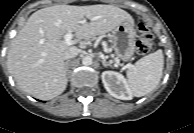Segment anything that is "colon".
I'll list each match as a JSON object with an SVG mask.
<instances>
[{
    "mask_svg": "<svg viewBox=\"0 0 194 133\" xmlns=\"http://www.w3.org/2000/svg\"><path fill=\"white\" fill-rule=\"evenodd\" d=\"M140 38L137 41V52L141 55L148 53L153 45V34L150 28L142 21L137 25Z\"/></svg>",
    "mask_w": 194,
    "mask_h": 133,
    "instance_id": "obj_1",
    "label": "colon"
}]
</instances>
